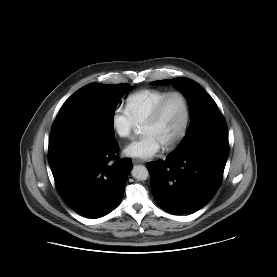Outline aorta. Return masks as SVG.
Masks as SVG:
<instances>
[{
	"label": "aorta",
	"instance_id": "762f6f07",
	"mask_svg": "<svg viewBox=\"0 0 277 277\" xmlns=\"http://www.w3.org/2000/svg\"><path fill=\"white\" fill-rule=\"evenodd\" d=\"M133 178L137 180H146L149 176L147 168L143 165H135L131 171Z\"/></svg>",
	"mask_w": 277,
	"mask_h": 277
}]
</instances>
